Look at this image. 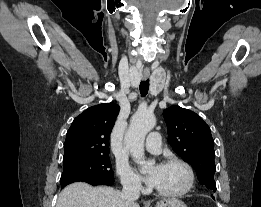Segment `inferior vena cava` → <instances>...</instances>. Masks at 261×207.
<instances>
[{
    "label": "inferior vena cava",
    "mask_w": 261,
    "mask_h": 207,
    "mask_svg": "<svg viewBox=\"0 0 261 207\" xmlns=\"http://www.w3.org/2000/svg\"><path fill=\"white\" fill-rule=\"evenodd\" d=\"M140 196V185L138 182L129 181L124 183L121 197L125 201H135Z\"/></svg>",
    "instance_id": "inferior-vena-cava-1"
}]
</instances>
